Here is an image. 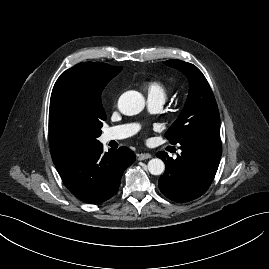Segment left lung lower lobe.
<instances>
[{
    "mask_svg": "<svg viewBox=\"0 0 269 269\" xmlns=\"http://www.w3.org/2000/svg\"><path fill=\"white\" fill-rule=\"evenodd\" d=\"M180 149L175 160L165 152L157 153L166 165L158 185L164 196L182 203L200 197L211 185L222 153L220 135H198Z\"/></svg>",
    "mask_w": 269,
    "mask_h": 269,
    "instance_id": "left-lung-lower-lobe-1",
    "label": "left lung lower lobe"
}]
</instances>
